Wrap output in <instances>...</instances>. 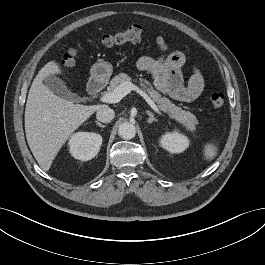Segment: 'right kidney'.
I'll return each instance as SVG.
<instances>
[{"mask_svg":"<svg viewBox=\"0 0 265 265\" xmlns=\"http://www.w3.org/2000/svg\"><path fill=\"white\" fill-rule=\"evenodd\" d=\"M102 144V136L93 132H78L69 141V151L78 160L88 161L94 158Z\"/></svg>","mask_w":265,"mask_h":265,"instance_id":"obj_1","label":"right kidney"}]
</instances>
